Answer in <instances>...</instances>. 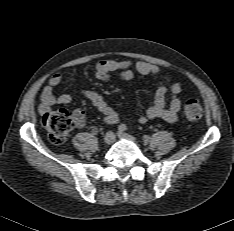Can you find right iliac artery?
<instances>
[{
  "instance_id": "1",
  "label": "right iliac artery",
  "mask_w": 234,
  "mask_h": 231,
  "mask_svg": "<svg viewBox=\"0 0 234 231\" xmlns=\"http://www.w3.org/2000/svg\"><path fill=\"white\" fill-rule=\"evenodd\" d=\"M104 122L108 123V124H117V123H119V118L114 117V118H111V119H104Z\"/></svg>"
}]
</instances>
